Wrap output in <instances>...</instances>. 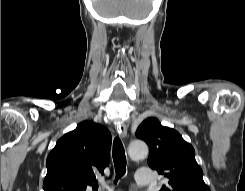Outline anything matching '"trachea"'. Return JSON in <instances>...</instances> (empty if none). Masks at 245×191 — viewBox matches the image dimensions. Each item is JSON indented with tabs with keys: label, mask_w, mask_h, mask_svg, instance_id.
<instances>
[{
	"label": "trachea",
	"mask_w": 245,
	"mask_h": 191,
	"mask_svg": "<svg viewBox=\"0 0 245 191\" xmlns=\"http://www.w3.org/2000/svg\"><path fill=\"white\" fill-rule=\"evenodd\" d=\"M113 161L116 170V180L126 173V156L121 140L116 137L113 142Z\"/></svg>",
	"instance_id": "3493384b"
}]
</instances>
